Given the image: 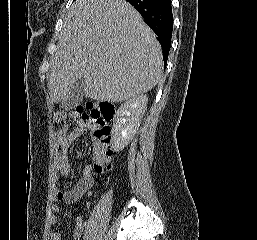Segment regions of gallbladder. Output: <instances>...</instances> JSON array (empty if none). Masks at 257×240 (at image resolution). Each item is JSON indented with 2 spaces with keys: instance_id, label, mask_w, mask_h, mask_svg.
<instances>
[{
  "instance_id": "gallbladder-1",
  "label": "gallbladder",
  "mask_w": 257,
  "mask_h": 240,
  "mask_svg": "<svg viewBox=\"0 0 257 240\" xmlns=\"http://www.w3.org/2000/svg\"><path fill=\"white\" fill-rule=\"evenodd\" d=\"M84 95V83L82 79L77 80L72 86L67 98L61 102L60 107L63 110H72L77 107Z\"/></svg>"
}]
</instances>
